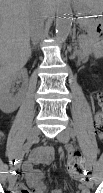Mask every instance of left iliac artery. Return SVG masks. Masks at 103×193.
<instances>
[{
  "instance_id": "1",
  "label": "left iliac artery",
  "mask_w": 103,
  "mask_h": 193,
  "mask_svg": "<svg viewBox=\"0 0 103 193\" xmlns=\"http://www.w3.org/2000/svg\"><path fill=\"white\" fill-rule=\"evenodd\" d=\"M68 133H69V135H70L72 138H74V137L76 136V133H75V131H74L72 128H69V129H68ZM85 168H86V171H87L88 175H89V176L91 177V179H92V177H93L94 174H93L92 166H91V163H90L89 160L86 161Z\"/></svg>"
}]
</instances>
